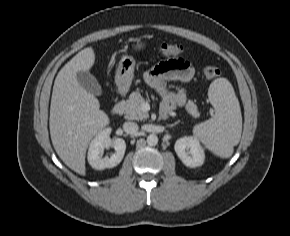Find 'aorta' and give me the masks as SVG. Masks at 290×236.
<instances>
[{
	"instance_id": "762f6f07",
	"label": "aorta",
	"mask_w": 290,
	"mask_h": 236,
	"mask_svg": "<svg viewBox=\"0 0 290 236\" xmlns=\"http://www.w3.org/2000/svg\"><path fill=\"white\" fill-rule=\"evenodd\" d=\"M158 143V137L157 135L155 134H150L148 137H147V144L149 146H156Z\"/></svg>"
}]
</instances>
